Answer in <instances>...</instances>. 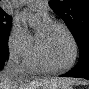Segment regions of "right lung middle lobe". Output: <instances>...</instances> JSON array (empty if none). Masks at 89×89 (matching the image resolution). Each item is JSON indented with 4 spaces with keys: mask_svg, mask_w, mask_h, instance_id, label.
I'll return each mask as SVG.
<instances>
[{
    "mask_svg": "<svg viewBox=\"0 0 89 89\" xmlns=\"http://www.w3.org/2000/svg\"><path fill=\"white\" fill-rule=\"evenodd\" d=\"M11 23L12 18L0 8V41L9 35Z\"/></svg>",
    "mask_w": 89,
    "mask_h": 89,
    "instance_id": "obj_1",
    "label": "right lung middle lobe"
}]
</instances>
